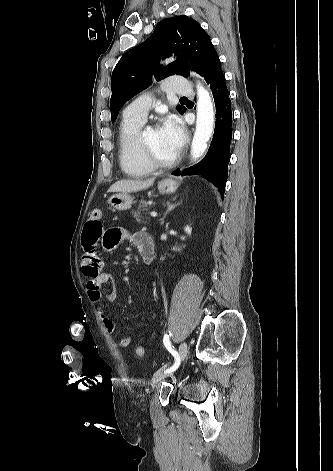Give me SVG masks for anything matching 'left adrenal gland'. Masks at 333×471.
Here are the masks:
<instances>
[{
  "instance_id": "a2214340",
  "label": "left adrenal gland",
  "mask_w": 333,
  "mask_h": 471,
  "mask_svg": "<svg viewBox=\"0 0 333 471\" xmlns=\"http://www.w3.org/2000/svg\"><path fill=\"white\" fill-rule=\"evenodd\" d=\"M176 199H177V197H174L171 201H175ZM171 201H168V202H167V210H166V212L164 213V216L161 218V225H163L164 219H165V217L167 216V214H168L170 211H172L174 208H176L178 205H180V203L182 202V201H180V202H177V203H172Z\"/></svg>"
}]
</instances>
